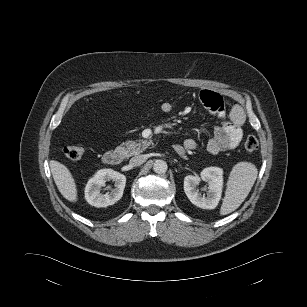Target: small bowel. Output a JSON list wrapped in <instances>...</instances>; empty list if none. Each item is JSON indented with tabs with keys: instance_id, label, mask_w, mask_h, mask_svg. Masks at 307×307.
Instances as JSON below:
<instances>
[{
	"instance_id": "obj_1",
	"label": "small bowel",
	"mask_w": 307,
	"mask_h": 307,
	"mask_svg": "<svg viewBox=\"0 0 307 307\" xmlns=\"http://www.w3.org/2000/svg\"><path fill=\"white\" fill-rule=\"evenodd\" d=\"M199 99L212 115L223 120L222 124L214 129L212 137L206 145V152L210 155H216L222 151L236 148L243 136L242 125L245 121L243 108L239 104L233 105L228 118L225 119V112L223 110L227 102L222 96L205 90L199 94ZM173 108V103L170 101H164L161 104V109L165 113H170ZM197 148V142L189 138L184 141L183 146H177L175 150L179 154H184L185 151H194Z\"/></svg>"
}]
</instances>
